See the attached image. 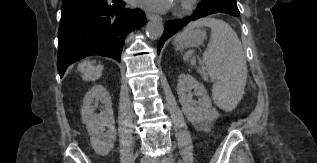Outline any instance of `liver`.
I'll return each instance as SVG.
<instances>
[{"mask_svg":"<svg viewBox=\"0 0 317 163\" xmlns=\"http://www.w3.org/2000/svg\"><path fill=\"white\" fill-rule=\"evenodd\" d=\"M95 62L85 60L78 65V70L82 73L83 80L95 81L102 75L103 66L94 65Z\"/></svg>","mask_w":317,"mask_h":163,"instance_id":"obj_1","label":"liver"}]
</instances>
